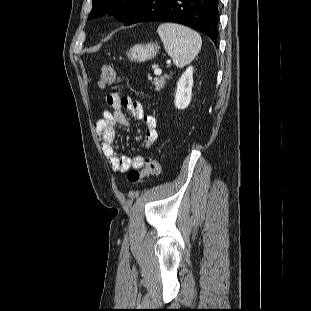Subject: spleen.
<instances>
[{"label":"spleen","instance_id":"obj_1","mask_svg":"<svg viewBox=\"0 0 311 311\" xmlns=\"http://www.w3.org/2000/svg\"><path fill=\"white\" fill-rule=\"evenodd\" d=\"M157 32L164 44L165 51L179 68L189 64L201 49L200 35L183 25L163 23L159 25Z\"/></svg>","mask_w":311,"mask_h":311}]
</instances>
